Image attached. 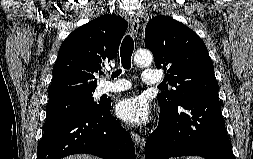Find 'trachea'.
I'll return each mask as SVG.
<instances>
[{
    "label": "trachea",
    "mask_w": 253,
    "mask_h": 159,
    "mask_svg": "<svg viewBox=\"0 0 253 159\" xmlns=\"http://www.w3.org/2000/svg\"><path fill=\"white\" fill-rule=\"evenodd\" d=\"M134 50V41L130 35H127L120 47V57H121V64L124 69H130L131 68V57ZM121 70H117L112 74V79L114 77H117L120 75ZM159 87H162V85H159Z\"/></svg>",
    "instance_id": "1"
}]
</instances>
